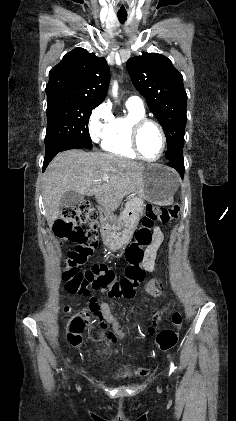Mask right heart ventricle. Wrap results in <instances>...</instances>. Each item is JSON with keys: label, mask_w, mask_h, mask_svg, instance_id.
<instances>
[{"label": "right heart ventricle", "mask_w": 236, "mask_h": 421, "mask_svg": "<svg viewBox=\"0 0 236 421\" xmlns=\"http://www.w3.org/2000/svg\"><path fill=\"white\" fill-rule=\"evenodd\" d=\"M126 106L125 114L113 117L101 138V148L116 157L137 160L139 157L132 148L129 128L135 119L145 117V109L133 102H127Z\"/></svg>", "instance_id": "e07e8e85"}]
</instances>
